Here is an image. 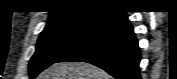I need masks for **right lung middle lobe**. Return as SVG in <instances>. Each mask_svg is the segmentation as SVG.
Returning a JSON list of instances; mask_svg holds the SVG:
<instances>
[{"instance_id": "1", "label": "right lung middle lobe", "mask_w": 177, "mask_h": 79, "mask_svg": "<svg viewBox=\"0 0 177 79\" xmlns=\"http://www.w3.org/2000/svg\"><path fill=\"white\" fill-rule=\"evenodd\" d=\"M101 19L102 16H90L46 25L38 39L36 52L29 63L30 78L33 79L39 72L57 62L79 44L100 23Z\"/></svg>"}]
</instances>
